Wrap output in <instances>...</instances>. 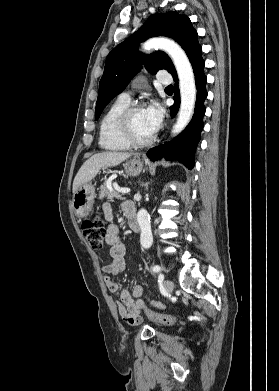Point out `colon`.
I'll return each mask as SVG.
<instances>
[{
    "mask_svg": "<svg viewBox=\"0 0 279 391\" xmlns=\"http://www.w3.org/2000/svg\"><path fill=\"white\" fill-rule=\"evenodd\" d=\"M81 228L83 235L91 248L95 250H101L104 247L107 229L104 222L99 217L84 220ZM142 309L150 318L163 324L170 325L177 320L176 317L165 316L152 312L145 305H143Z\"/></svg>",
    "mask_w": 279,
    "mask_h": 391,
    "instance_id": "5ec220e1",
    "label": "colon"
}]
</instances>
